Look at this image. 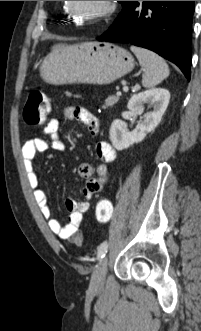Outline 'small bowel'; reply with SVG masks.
<instances>
[{"label": "small bowel", "mask_w": 201, "mask_h": 331, "mask_svg": "<svg viewBox=\"0 0 201 331\" xmlns=\"http://www.w3.org/2000/svg\"><path fill=\"white\" fill-rule=\"evenodd\" d=\"M64 120L78 121L84 124L91 135L99 131V121L88 110L78 106H67L62 111ZM60 122L57 118H49L44 126L46 138L38 137L27 140L22 146L23 164L28 183L32 189L35 202L41 214L47 220L50 230L63 240L72 243L82 240L80 225L84 213L89 208L87 201H77L67 198L65 207L69 213L68 223L63 225L58 219L51 215L50 207L44 191L40 188L39 178L35 170L34 159L38 153L49 149L62 151L65 143L59 135ZM95 152L101 164L96 168L90 164L83 163L78 168L79 176L84 180L83 196L89 200L102 189V184L111 174L110 164L116 160V151L108 142L101 141L95 146Z\"/></svg>", "instance_id": "1"}]
</instances>
